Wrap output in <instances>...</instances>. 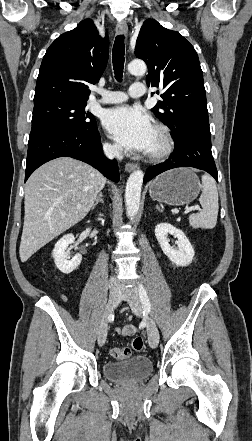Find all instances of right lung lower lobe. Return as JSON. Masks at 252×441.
I'll use <instances>...</instances> for the list:
<instances>
[{
	"instance_id": "98d812e1",
	"label": "right lung lower lobe",
	"mask_w": 252,
	"mask_h": 441,
	"mask_svg": "<svg viewBox=\"0 0 252 441\" xmlns=\"http://www.w3.org/2000/svg\"><path fill=\"white\" fill-rule=\"evenodd\" d=\"M63 156L86 162L108 179L119 181L120 175L116 160H108L103 155L96 123L83 130L48 128L31 131L25 181L42 164Z\"/></svg>"
}]
</instances>
